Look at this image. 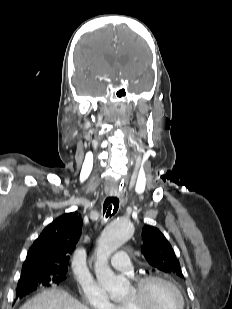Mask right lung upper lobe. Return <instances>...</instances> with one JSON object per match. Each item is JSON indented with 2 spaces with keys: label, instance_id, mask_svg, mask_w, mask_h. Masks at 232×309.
Returning a JSON list of instances; mask_svg holds the SVG:
<instances>
[{
  "label": "right lung upper lobe",
  "instance_id": "1",
  "mask_svg": "<svg viewBox=\"0 0 232 309\" xmlns=\"http://www.w3.org/2000/svg\"><path fill=\"white\" fill-rule=\"evenodd\" d=\"M82 223L81 217L72 212L58 217L45 227L30 247L22 272L55 270L67 273Z\"/></svg>",
  "mask_w": 232,
  "mask_h": 309
}]
</instances>
